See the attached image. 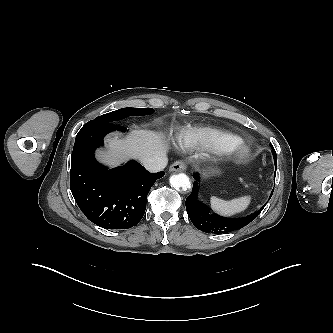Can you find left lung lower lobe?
Here are the masks:
<instances>
[{
	"mask_svg": "<svg viewBox=\"0 0 333 333\" xmlns=\"http://www.w3.org/2000/svg\"><path fill=\"white\" fill-rule=\"evenodd\" d=\"M193 177L196 181L193 184L192 193L186 199V209L194 226L201 231L222 234L238 230L253 221L267 204L265 203L260 210L244 218L226 219L219 217L215 214H211L209 210L197 200V193L199 190L198 182L200 180L199 175L196 173H194ZM273 191L274 189L272 190L269 199L271 198Z\"/></svg>",
	"mask_w": 333,
	"mask_h": 333,
	"instance_id": "0a47b994",
	"label": "left lung lower lobe"
}]
</instances>
